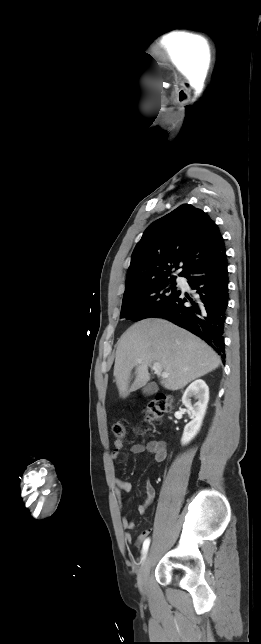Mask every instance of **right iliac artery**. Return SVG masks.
<instances>
[{
	"label": "right iliac artery",
	"mask_w": 261,
	"mask_h": 644,
	"mask_svg": "<svg viewBox=\"0 0 261 644\" xmlns=\"http://www.w3.org/2000/svg\"><path fill=\"white\" fill-rule=\"evenodd\" d=\"M149 544H150V538H147V539L144 541V543H143V548H142V560H143V559L145 558V556H146V553H147L148 548H149Z\"/></svg>",
	"instance_id": "1"
}]
</instances>
